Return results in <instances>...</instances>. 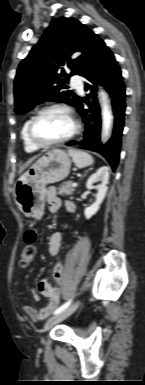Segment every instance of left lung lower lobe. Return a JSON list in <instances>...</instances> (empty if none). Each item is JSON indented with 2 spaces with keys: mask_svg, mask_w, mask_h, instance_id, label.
Returning a JSON list of instances; mask_svg holds the SVG:
<instances>
[{
  "mask_svg": "<svg viewBox=\"0 0 145 385\" xmlns=\"http://www.w3.org/2000/svg\"><path fill=\"white\" fill-rule=\"evenodd\" d=\"M79 75L86 78L85 90H90L88 97L92 99V102L82 99L78 107V111L84 119L86 129L85 141L81 143V146L84 149L100 153L107 159L112 168L115 169L119 161L121 136L124 127L125 86L114 55L96 34L92 37L88 55ZM91 83L103 85L112 98L115 123L112 138L104 146L100 143L101 116L96 86H92ZM84 102L88 104V109H84ZM75 143L73 141L67 143V145Z\"/></svg>",
  "mask_w": 145,
  "mask_h": 385,
  "instance_id": "0a47b994",
  "label": "left lung lower lobe"
}]
</instances>
